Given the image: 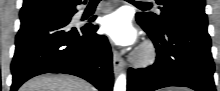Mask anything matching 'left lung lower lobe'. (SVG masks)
Returning a JSON list of instances; mask_svg holds the SVG:
<instances>
[{
  "label": "left lung lower lobe",
  "instance_id": "left-lung-lower-lobe-1",
  "mask_svg": "<svg viewBox=\"0 0 220 91\" xmlns=\"http://www.w3.org/2000/svg\"><path fill=\"white\" fill-rule=\"evenodd\" d=\"M136 19L153 41L157 57L150 67L129 69L127 91H153L168 86L215 91L207 26L176 22L162 31H153L138 14Z\"/></svg>",
  "mask_w": 220,
  "mask_h": 91
}]
</instances>
